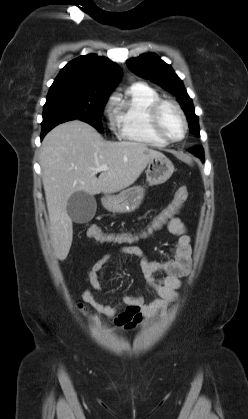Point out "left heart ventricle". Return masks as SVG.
<instances>
[{
	"label": "left heart ventricle",
	"instance_id": "left-heart-ventricle-1",
	"mask_svg": "<svg viewBox=\"0 0 248 419\" xmlns=\"http://www.w3.org/2000/svg\"><path fill=\"white\" fill-rule=\"evenodd\" d=\"M159 122L162 131L168 137L177 139L182 135L183 123L174 107L164 105L159 113Z\"/></svg>",
	"mask_w": 248,
	"mask_h": 419
}]
</instances>
